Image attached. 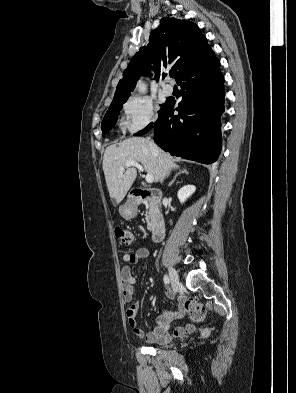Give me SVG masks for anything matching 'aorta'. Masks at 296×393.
Here are the masks:
<instances>
[{"label": "aorta", "instance_id": "1", "mask_svg": "<svg viewBox=\"0 0 296 393\" xmlns=\"http://www.w3.org/2000/svg\"><path fill=\"white\" fill-rule=\"evenodd\" d=\"M138 89H139L140 92H145V90H146L144 84H142V83L138 84Z\"/></svg>", "mask_w": 296, "mask_h": 393}]
</instances>
